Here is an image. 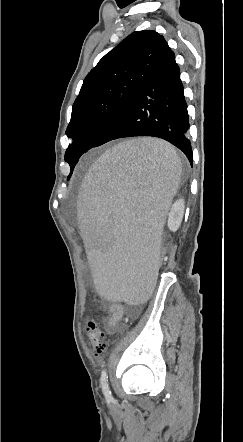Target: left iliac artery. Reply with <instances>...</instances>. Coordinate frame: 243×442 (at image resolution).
Returning <instances> with one entry per match:
<instances>
[{
  "label": "left iliac artery",
  "instance_id": "44dca946",
  "mask_svg": "<svg viewBox=\"0 0 243 442\" xmlns=\"http://www.w3.org/2000/svg\"><path fill=\"white\" fill-rule=\"evenodd\" d=\"M108 375H107V370L103 369L101 372V377H100V384L102 387V391L105 395V398L107 400H111L112 399V395H111V391L109 389V385H108Z\"/></svg>",
  "mask_w": 243,
  "mask_h": 442
}]
</instances>
